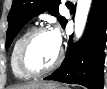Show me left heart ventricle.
I'll return each instance as SVG.
<instances>
[{
	"label": "left heart ventricle",
	"instance_id": "left-heart-ventricle-1",
	"mask_svg": "<svg viewBox=\"0 0 107 89\" xmlns=\"http://www.w3.org/2000/svg\"><path fill=\"white\" fill-rule=\"evenodd\" d=\"M58 53L59 47L51 33H42L33 40L28 51L27 61L32 68H45L55 61Z\"/></svg>",
	"mask_w": 107,
	"mask_h": 89
}]
</instances>
